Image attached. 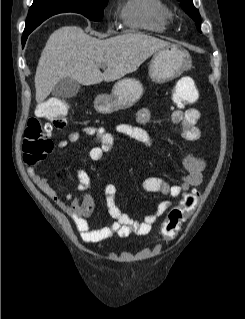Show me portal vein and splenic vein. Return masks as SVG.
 Returning a JSON list of instances; mask_svg holds the SVG:
<instances>
[{"mask_svg":"<svg viewBox=\"0 0 245 319\" xmlns=\"http://www.w3.org/2000/svg\"><path fill=\"white\" fill-rule=\"evenodd\" d=\"M106 65L102 64L101 67H105Z\"/></svg>","mask_w":245,"mask_h":319,"instance_id":"obj_1","label":"portal vein and splenic vein"}]
</instances>
